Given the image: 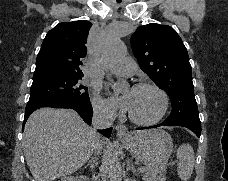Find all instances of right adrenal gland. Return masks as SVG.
<instances>
[{"instance_id": "obj_1", "label": "right adrenal gland", "mask_w": 228, "mask_h": 181, "mask_svg": "<svg viewBox=\"0 0 228 181\" xmlns=\"http://www.w3.org/2000/svg\"><path fill=\"white\" fill-rule=\"evenodd\" d=\"M98 163H97V159H95V161H88L87 165H85L84 169H87V167H89L90 171H94L95 167H97Z\"/></svg>"}]
</instances>
